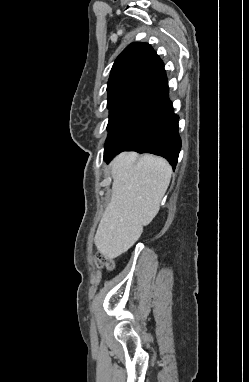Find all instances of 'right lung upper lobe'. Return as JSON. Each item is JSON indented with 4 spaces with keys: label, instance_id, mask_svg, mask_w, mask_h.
Returning <instances> with one entry per match:
<instances>
[{
    "label": "right lung upper lobe",
    "instance_id": "right-lung-upper-lobe-1",
    "mask_svg": "<svg viewBox=\"0 0 249 382\" xmlns=\"http://www.w3.org/2000/svg\"><path fill=\"white\" fill-rule=\"evenodd\" d=\"M107 91L108 107L126 101L153 104L168 92L163 62L149 44H130L114 62Z\"/></svg>",
    "mask_w": 249,
    "mask_h": 382
}]
</instances>
